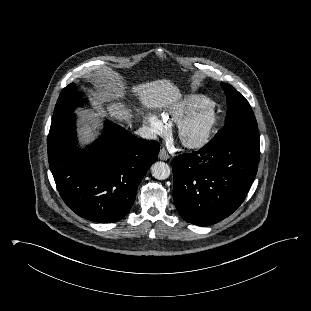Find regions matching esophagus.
Returning a JSON list of instances; mask_svg holds the SVG:
<instances>
[{
  "mask_svg": "<svg viewBox=\"0 0 311 311\" xmlns=\"http://www.w3.org/2000/svg\"><path fill=\"white\" fill-rule=\"evenodd\" d=\"M159 158L161 160H168L170 158V156H169L168 152L164 148H162L159 152Z\"/></svg>",
  "mask_w": 311,
  "mask_h": 311,
  "instance_id": "1",
  "label": "esophagus"
}]
</instances>
